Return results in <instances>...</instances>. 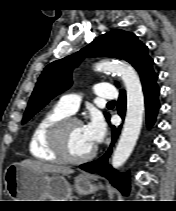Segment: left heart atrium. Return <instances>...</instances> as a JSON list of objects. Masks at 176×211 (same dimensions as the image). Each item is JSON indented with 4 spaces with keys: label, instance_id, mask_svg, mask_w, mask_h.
<instances>
[{
    "label": "left heart atrium",
    "instance_id": "39dd6f15",
    "mask_svg": "<svg viewBox=\"0 0 176 211\" xmlns=\"http://www.w3.org/2000/svg\"><path fill=\"white\" fill-rule=\"evenodd\" d=\"M85 134L92 145L100 143L106 133L103 120L99 116H93L91 120L84 125Z\"/></svg>",
    "mask_w": 176,
    "mask_h": 211
}]
</instances>
